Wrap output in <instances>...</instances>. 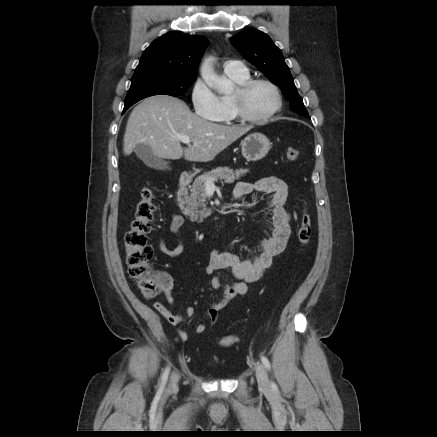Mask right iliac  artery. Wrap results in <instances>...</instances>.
Listing matches in <instances>:
<instances>
[{
	"label": "right iliac artery",
	"mask_w": 437,
	"mask_h": 437,
	"mask_svg": "<svg viewBox=\"0 0 437 437\" xmlns=\"http://www.w3.org/2000/svg\"><path fill=\"white\" fill-rule=\"evenodd\" d=\"M169 370L170 368L167 367L162 375V380H161V388H163L167 382L168 379V375H169Z\"/></svg>",
	"instance_id": "right-iliac-artery-1"
}]
</instances>
